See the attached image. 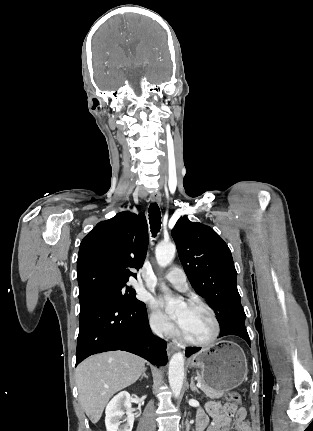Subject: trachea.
Here are the masks:
<instances>
[{"label": "trachea", "mask_w": 313, "mask_h": 431, "mask_svg": "<svg viewBox=\"0 0 313 431\" xmlns=\"http://www.w3.org/2000/svg\"><path fill=\"white\" fill-rule=\"evenodd\" d=\"M149 221H150L152 236L155 237L161 228V212L157 203L150 204Z\"/></svg>", "instance_id": "trachea-1"}]
</instances>
